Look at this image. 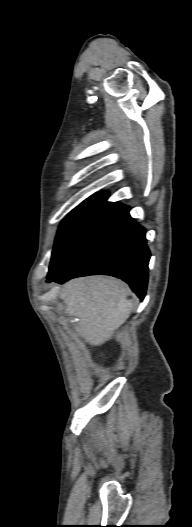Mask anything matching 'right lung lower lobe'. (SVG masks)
I'll list each match as a JSON object with an SVG mask.
<instances>
[{
    "mask_svg": "<svg viewBox=\"0 0 192 527\" xmlns=\"http://www.w3.org/2000/svg\"><path fill=\"white\" fill-rule=\"evenodd\" d=\"M98 193L56 243L47 282L87 275H111L127 282L143 300L150 252L145 229L129 215V207L110 203Z\"/></svg>",
    "mask_w": 192,
    "mask_h": 527,
    "instance_id": "right-lung-lower-lobe-1",
    "label": "right lung lower lobe"
}]
</instances>
